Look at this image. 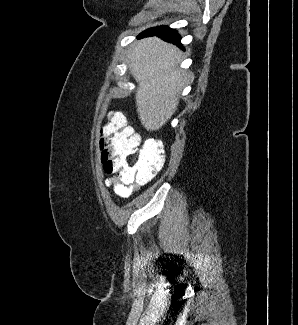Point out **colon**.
I'll use <instances>...</instances> for the list:
<instances>
[{
  "mask_svg": "<svg viewBox=\"0 0 298 325\" xmlns=\"http://www.w3.org/2000/svg\"><path fill=\"white\" fill-rule=\"evenodd\" d=\"M140 136L117 112L100 130L99 149L104 170L125 186L149 182L163 167L164 157L150 145L140 148Z\"/></svg>",
  "mask_w": 298,
  "mask_h": 325,
  "instance_id": "1",
  "label": "colon"
}]
</instances>
